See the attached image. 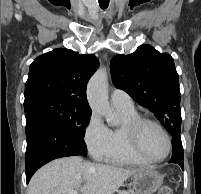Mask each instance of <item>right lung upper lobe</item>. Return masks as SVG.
Segmentation results:
<instances>
[{"instance_id": "right-lung-upper-lobe-1", "label": "right lung upper lobe", "mask_w": 201, "mask_h": 194, "mask_svg": "<svg viewBox=\"0 0 201 194\" xmlns=\"http://www.w3.org/2000/svg\"><path fill=\"white\" fill-rule=\"evenodd\" d=\"M99 66L93 54L58 48L37 57L30 65L24 104L40 98H57L91 113L86 85Z\"/></svg>"}]
</instances>
